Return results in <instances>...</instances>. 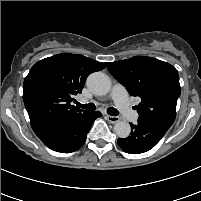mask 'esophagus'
I'll list each match as a JSON object with an SVG mask.
<instances>
[{"mask_svg": "<svg viewBox=\"0 0 201 201\" xmlns=\"http://www.w3.org/2000/svg\"><path fill=\"white\" fill-rule=\"evenodd\" d=\"M106 119L110 122V123H117L120 121V118L117 116H111V115H106Z\"/></svg>", "mask_w": 201, "mask_h": 201, "instance_id": "1", "label": "esophagus"}]
</instances>
